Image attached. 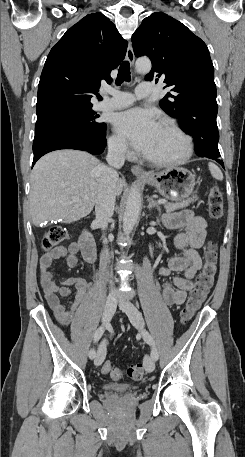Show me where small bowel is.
<instances>
[{"label":"small bowel","mask_w":245,"mask_h":457,"mask_svg":"<svg viewBox=\"0 0 245 457\" xmlns=\"http://www.w3.org/2000/svg\"><path fill=\"white\" fill-rule=\"evenodd\" d=\"M163 224L168 229H181L174 238L176 248L184 250L181 256H174L168 260L166 266L159 269L162 277H168L173 272H182L174 277L173 283H165L162 290L163 300L168 305H181L185 302L187 293L193 288L192 279L202 266L198 250L204 244L207 224L203 217L196 216L190 210H183L163 216ZM79 244L70 243L67 247L59 246L44 254L40 259V282L45 299L52 309L55 318L64 326H70L71 338L81 349L89 345V337L85 330L74 325L73 319L79 304L85 297L90 283L83 278L71 277L58 283L51 272L55 260L63 259L68 268L77 265L76 254ZM73 297L62 302L60 297Z\"/></svg>","instance_id":"obj_1"}]
</instances>
